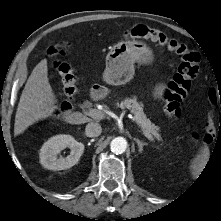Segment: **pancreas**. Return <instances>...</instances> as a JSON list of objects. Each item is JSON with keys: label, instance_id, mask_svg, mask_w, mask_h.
I'll return each mask as SVG.
<instances>
[{"label": "pancreas", "instance_id": "obj_1", "mask_svg": "<svg viewBox=\"0 0 221 221\" xmlns=\"http://www.w3.org/2000/svg\"><path fill=\"white\" fill-rule=\"evenodd\" d=\"M117 106L121 109H129L133 114V121H135L141 128L150 133L158 141H162L159 134L160 128L146 117L143 111L144 105L139 103L135 96L133 98H125L120 103H117Z\"/></svg>", "mask_w": 221, "mask_h": 221}]
</instances>
